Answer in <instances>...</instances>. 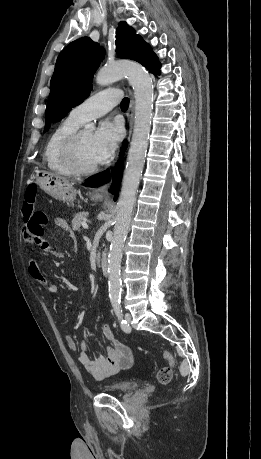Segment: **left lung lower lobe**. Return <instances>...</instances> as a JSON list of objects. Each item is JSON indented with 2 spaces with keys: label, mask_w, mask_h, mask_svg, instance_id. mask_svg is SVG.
Segmentation results:
<instances>
[{
  "label": "left lung lower lobe",
  "mask_w": 261,
  "mask_h": 459,
  "mask_svg": "<svg viewBox=\"0 0 261 459\" xmlns=\"http://www.w3.org/2000/svg\"><path fill=\"white\" fill-rule=\"evenodd\" d=\"M157 72L160 73L159 71H157ZM124 148H126V146ZM122 156H123V151L121 152V157ZM122 166H123V160L120 159L118 164L113 169L111 175L109 174V170H106V171H104L102 173H99V174L89 178L84 183V186L98 187V186L104 184L105 182H108L111 179V176H112L113 177L114 188L113 187L111 188V192L114 193V189H115L114 200H116L117 197H118L119 185H120V182H121Z\"/></svg>",
  "instance_id": "1"
}]
</instances>
